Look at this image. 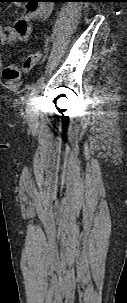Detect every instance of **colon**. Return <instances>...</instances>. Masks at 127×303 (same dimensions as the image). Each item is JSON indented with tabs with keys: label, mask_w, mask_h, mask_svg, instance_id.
<instances>
[{
	"label": "colon",
	"mask_w": 127,
	"mask_h": 303,
	"mask_svg": "<svg viewBox=\"0 0 127 303\" xmlns=\"http://www.w3.org/2000/svg\"><path fill=\"white\" fill-rule=\"evenodd\" d=\"M40 54L35 52L31 54L24 62L22 69L16 65H8L4 71L3 76L8 81H18L21 77L22 71L29 70L35 63L38 62Z\"/></svg>",
	"instance_id": "1"
}]
</instances>
